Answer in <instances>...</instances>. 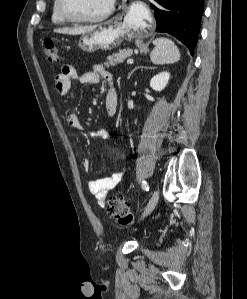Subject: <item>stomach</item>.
I'll return each mask as SVG.
<instances>
[{"instance_id":"0dacf381","label":"stomach","mask_w":247,"mask_h":299,"mask_svg":"<svg viewBox=\"0 0 247 299\" xmlns=\"http://www.w3.org/2000/svg\"><path fill=\"white\" fill-rule=\"evenodd\" d=\"M127 31L121 23L108 21L98 25L92 32L84 34L78 43L83 51L92 53L99 49L110 50L117 47Z\"/></svg>"}]
</instances>
